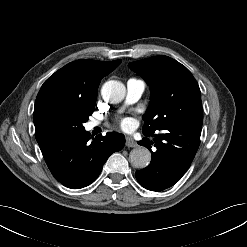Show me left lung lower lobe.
I'll list each match as a JSON object with an SVG mask.
<instances>
[{
  "mask_svg": "<svg viewBox=\"0 0 247 247\" xmlns=\"http://www.w3.org/2000/svg\"><path fill=\"white\" fill-rule=\"evenodd\" d=\"M202 126L186 122L169 124L153 136V141L143 138L138 143L152 154L150 164L136 171V179L142 187L162 191L173 186L190 167L200 144ZM151 145L156 149L151 150Z\"/></svg>",
  "mask_w": 247,
  "mask_h": 247,
  "instance_id": "obj_1",
  "label": "left lung lower lobe"
}]
</instances>
